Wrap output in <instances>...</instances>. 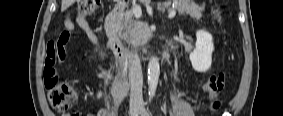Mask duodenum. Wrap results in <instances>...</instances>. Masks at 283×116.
I'll use <instances>...</instances> for the list:
<instances>
[{"mask_svg":"<svg viewBox=\"0 0 283 116\" xmlns=\"http://www.w3.org/2000/svg\"><path fill=\"white\" fill-rule=\"evenodd\" d=\"M124 10L125 6L123 4L116 5L106 16L104 27L107 35L108 47L114 53L117 61L123 65H130L134 61L136 54L125 51L116 35V28ZM118 85L121 87H127L128 80L126 78H122L119 80Z\"/></svg>","mask_w":283,"mask_h":116,"instance_id":"1","label":"duodenum"}]
</instances>
